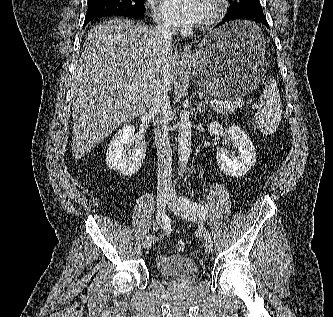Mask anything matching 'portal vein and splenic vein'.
Instances as JSON below:
<instances>
[{
	"label": "portal vein and splenic vein",
	"mask_w": 333,
	"mask_h": 317,
	"mask_svg": "<svg viewBox=\"0 0 333 317\" xmlns=\"http://www.w3.org/2000/svg\"><path fill=\"white\" fill-rule=\"evenodd\" d=\"M206 102H207V103L209 102V103H211V104H222V103H223V102H220V101H217V100H214V101L211 100V101H206ZM240 103H241V100L238 99V100H236V101L233 102V103H229V105H237V106H239ZM252 108H253V109L258 108V106H257V105H253Z\"/></svg>",
	"instance_id": "1"
}]
</instances>
